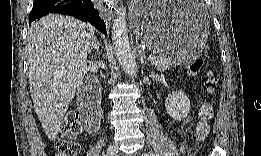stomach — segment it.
Listing matches in <instances>:
<instances>
[{"mask_svg": "<svg viewBox=\"0 0 261 156\" xmlns=\"http://www.w3.org/2000/svg\"><path fill=\"white\" fill-rule=\"evenodd\" d=\"M136 37L154 53L176 64L197 59L209 34V21L193 1L137 2L131 10Z\"/></svg>", "mask_w": 261, "mask_h": 156, "instance_id": "1", "label": "stomach"}]
</instances>
